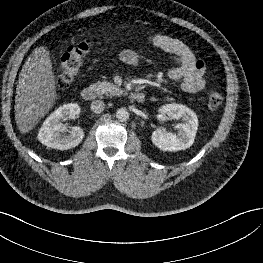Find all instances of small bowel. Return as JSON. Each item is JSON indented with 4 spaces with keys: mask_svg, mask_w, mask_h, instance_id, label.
<instances>
[{
    "mask_svg": "<svg viewBox=\"0 0 263 263\" xmlns=\"http://www.w3.org/2000/svg\"><path fill=\"white\" fill-rule=\"evenodd\" d=\"M147 41L171 54L177 61V67L166 72L167 79L182 80V89L189 93H196L204 88V62L197 58L193 50L183 40L164 34H154L149 36ZM119 58L123 63L131 66H137L140 63L139 54L131 49L121 51Z\"/></svg>",
    "mask_w": 263,
    "mask_h": 263,
    "instance_id": "c3829d8e",
    "label": "small bowel"
}]
</instances>
